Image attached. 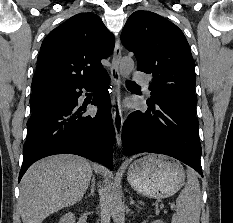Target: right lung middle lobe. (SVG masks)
Returning <instances> with one entry per match:
<instances>
[{
	"label": "right lung middle lobe",
	"instance_id": "dd1d6c3e",
	"mask_svg": "<svg viewBox=\"0 0 233 223\" xmlns=\"http://www.w3.org/2000/svg\"><path fill=\"white\" fill-rule=\"evenodd\" d=\"M41 103L35 99L33 96H31L30 98V106H31V110L34 111L36 110V108L40 105Z\"/></svg>",
	"mask_w": 233,
	"mask_h": 223
}]
</instances>
